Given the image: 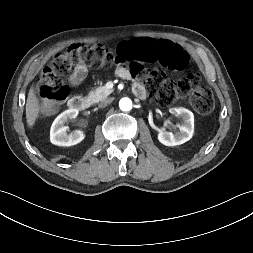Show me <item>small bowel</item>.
<instances>
[{
  "label": "small bowel",
  "mask_w": 253,
  "mask_h": 253,
  "mask_svg": "<svg viewBox=\"0 0 253 253\" xmlns=\"http://www.w3.org/2000/svg\"><path fill=\"white\" fill-rule=\"evenodd\" d=\"M161 41H167V40H161ZM168 42H170L171 44H174L171 41H168ZM138 64H141V63H138ZM116 73L119 77L124 78V79H129L131 77V73L129 72V70L123 67H119ZM86 75H87L86 66L77 65L71 75L70 81L73 85H79L85 79ZM134 90L136 94L140 96L144 95L145 90L141 84L137 83L134 87Z\"/></svg>",
  "instance_id": "1"
}]
</instances>
